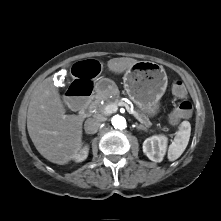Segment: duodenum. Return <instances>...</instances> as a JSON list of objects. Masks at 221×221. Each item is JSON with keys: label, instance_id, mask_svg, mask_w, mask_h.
Returning <instances> with one entry per match:
<instances>
[{"label": "duodenum", "instance_id": "1", "mask_svg": "<svg viewBox=\"0 0 221 221\" xmlns=\"http://www.w3.org/2000/svg\"><path fill=\"white\" fill-rule=\"evenodd\" d=\"M88 100L90 101V96L88 97ZM89 101H88V105L84 109L80 110V114L83 116H86L90 113Z\"/></svg>", "mask_w": 221, "mask_h": 221}]
</instances>
